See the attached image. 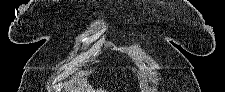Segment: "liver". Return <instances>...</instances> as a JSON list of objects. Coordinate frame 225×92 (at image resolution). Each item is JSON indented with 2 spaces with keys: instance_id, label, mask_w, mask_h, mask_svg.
<instances>
[{
  "instance_id": "6515ba94",
  "label": "liver",
  "mask_w": 225,
  "mask_h": 92,
  "mask_svg": "<svg viewBox=\"0 0 225 92\" xmlns=\"http://www.w3.org/2000/svg\"><path fill=\"white\" fill-rule=\"evenodd\" d=\"M70 92H106L105 90L102 89H97V91H95L91 85H87L86 81L83 79L81 81L78 82V86H71L70 87Z\"/></svg>"
}]
</instances>
